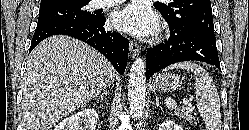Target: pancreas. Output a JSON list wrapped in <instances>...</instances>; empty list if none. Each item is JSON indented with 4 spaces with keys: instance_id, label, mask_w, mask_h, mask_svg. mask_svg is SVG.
I'll return each mask as SVG.
<instances>
[{
    "instance_id": "obj_1",
    "label": "pancreas",
    "mask_w": 249,
    "mask_h": 130,
    "mask_svg": "<svg viewBox=\"0 0 249 130\" xmlns=\"http://www.w3.org/2000/svg\"><path fill=\"white\" fill-rule=\"evenodd\" d=\"M192 110L190 108H182L177 112V116L180 118H184L190 123H195V118L192 116Z\"/></svg>"
}]
</instances>
